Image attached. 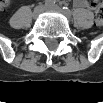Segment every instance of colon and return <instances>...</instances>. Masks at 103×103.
Listing matches in <instances>:
<instances>
[{
    "mask_svg": "<svg viewBox=\"0 0 103 103\" xmlns=\"http://www.w3.org/2000/svg\"><path fill=\"white\" fill-rule=\"evenodd\" d=\"M8 1L2 3V7L5 8L8 6ZM88 6L95 10V21L98 25L103 23V7L99 2L91 1L88 3Z\"/></svg>",
    "mask_w": 103,
    "mask_h": 103,
    "instance_id": "1",
    "label": "colon"
}]
</instances>
